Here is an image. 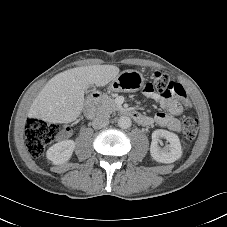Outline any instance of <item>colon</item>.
Wrapping results in <instances>:
<instances>
[{
  "instance_id": "5ec220e1",
  "label": "colon",
  "mask_w": 227,
  "mask_h": 227,
  "mask_svg": "<svg viewBox=\"0 0 227 227\" xmlns=\"http://www.w3.org/2000/svg\"><path fill=\"white\" fill-rule=\"evenodd\" d=\"M150 83L155 88V94L163 95L166 91H171L180 97L186 107L191 106L182 85L172 82L166 73L154 72ZM198 128L199 122L197 118L186 117L184 119L183 134L188 140L196 137ZM61 132L62 129L57 124L29 118L25 127L26 147L29 155L33 158L40 157L44 153L46 145L52 142Z\"/></svg>"
}]
</instances>
